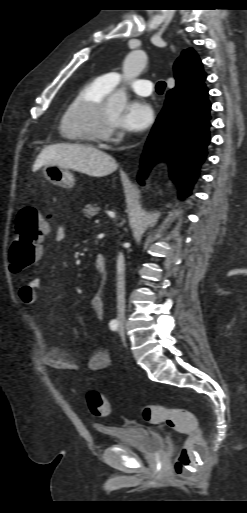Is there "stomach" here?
I'll return each instance as SVG.
<instances>
[{"label":"stomach","mask_w":247,"mask_h":513,"mask_svg":"<svg viewBox=\"0 0 247 513\" xmlns=\"http://www.w3.org/2000/svg\"><path fill=\"white\" fill-rule=\"evenodd\" d=\"M45 178L52 184L63 188H72L75 185L73 174L66 168L58 165H47L43 169Z\"/></svg>","instance_id":"stomach-1"}]
</instances>
